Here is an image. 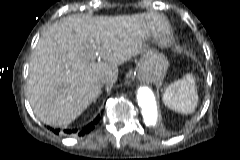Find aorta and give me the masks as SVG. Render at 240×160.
I'll return each mask as SVG.
<instances>
[{"instance_id": "aorta-1", "label": "aorta", "mask_w": 240, "mask_h": 160, "mask_svg": "<svg viewBox=\"0 0 240 160\" xmlns=\"http://www.w3.org/2000/svg\"><path fill=\"white\" fill-rule=\"evenodd\" d=\"M137 101L141 108L144 123L147 126H154L158 118V107L151 89L140 87L137 91Z\"/></svg>"}]
</instances>
